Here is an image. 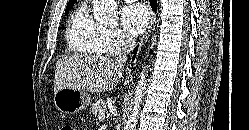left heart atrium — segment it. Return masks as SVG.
<instances>
[{"instance_id":"1","label":"left heart atrium","mask_w":249,"mask_h":130,"mask_svg":"<svg viewBox=\"0 0 249 130\" xmlns=\"http://www.w3.org/2000/svg\"><path fill=\"white\" fill-rule=\"evenodd\" d=\"M121 20L126 31L132 35H138L146 29L149 13L142 4H130L121 10Z\"/></svg>"}]
</instances>
